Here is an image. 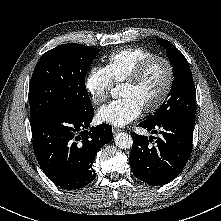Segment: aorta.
I'll use <instances>...</instances> for the list:
<instances>
[{
	"mask_svg": "<svg viewBox=\"0 0 221 221\" xmlns=\"http://www.w3.org/2000/svg\"><path fill=\"white\" fill-rule=\"evenodd\" d=\"M132 144V137L128 133L121 132L115 136V145L120 149H130Z\"/></svg>",
	"mask_w": 221,
	"mask_h": 221,
	"instance_id": "762f6f07",
	"label": "aorta"
}]
</instances>
